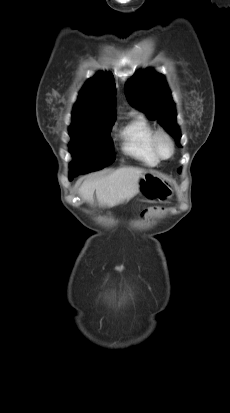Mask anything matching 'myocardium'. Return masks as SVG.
<instances>
[{"label":"myocardium","instance_id":"myocardium-1","mask_svg":"<svg viewBox=\"0 0 230 413\" xmlns=\"http://www.w3.org/2000/svg\"><path fill=\"white\" fill-rule=\"evenodd\" d=\"M161 140L166 141L170 147V154L167 156L163 155L160 151L159 143ZM151 143H152L153 151L158 159L168 160L173 157L175 153V144L170 134L164 129H156L153 131V134L151 137Z\"/></svg>","mask_w":230,"mask_h":413}]
</instances>
